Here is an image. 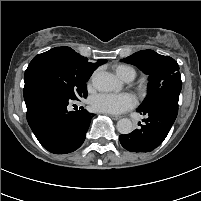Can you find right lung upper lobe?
Here are the masks:
<instances>
[{
  "label": "right lung upper lobe",
  "instance_id": "1",
  "mask_svg": "<svg viewBox=\"0 0 201 201\" xmlns=\"http://www.w3.org/2000/svg\"><path fill=\"white\" fill-rule=\"evenodd\" d=\"M60 52H62L69 63V65L78 73L83 74L90 78L93 71L97 69L98 66L106 63L107 60H98L96 63H90L88 62L87 58H84L80 56L78 53H76L74 50H72L70 47H56L53 48Z\"/></svg>",
  "mask_w": 201,
  "mask_h": 201
}]
</instances>
